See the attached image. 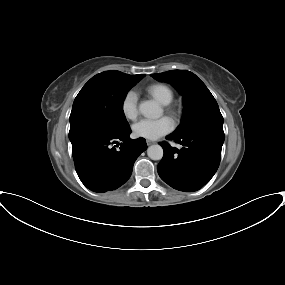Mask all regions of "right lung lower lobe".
<instances>
[{
	"mask_svg": "<svg viewBox=\"0 0 285 285\" xmlns=\"http://www.w3.org/2000/svg\"><path fill=\"white\" fill-rule=\"evenodd\" d=\"M130 133V128L117 134L89 130L70 139L77 174L88 189L111 191L129 179L135 160L147 148L144 138L133 140Z\"/></svg>",
	"mask_w": 285,
	"mask_h": 285,
	"instance_id": "obj_1",
	"label": "right lung lower lobe"
}]
</instances>
